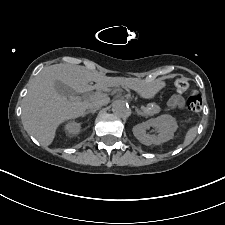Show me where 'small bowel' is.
Listing matches in <instances>:
<instances>
[{"label":"small bowel","instance_id":"1","mask_svg":"<svg viewBox=\"0 0 225 225\" xmlns=\"http://www.w3.org/2000/svg\"><path fill=\"white\" fill-rule=\"evenodd\" d=\"M169 107L172 109H183L184 99L179 95H173L169 100Z\"/></svg>","mask_w":225,"mask_h":225}]
</instances>
